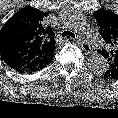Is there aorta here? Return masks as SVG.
Here are the masks:
<instances>
[{"label": "aorta", "mask_w": 118, "mask_h": 118, "mask_svg": "<svg viewBox=\"0 0 118 118\" xmlns=\"http://www.w3.org/2000/svg\"><path fill=\"white\" fill-rule=\"evenodd\" d=\"M62 20L68 28L77 32L82 31L86 24L85 18L75 8H69L64 11ZM87 65L96 74H103L108 68L107 60L100 54L89 57Z\"/></svg>", "instance_id": "aorta-1"}]
</instances>
